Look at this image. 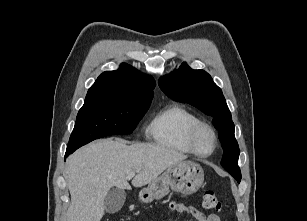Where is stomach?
<instances>
[{
  "label": "stomach",
  "mask_w": 307,
  "mask_h": 221,
  "mask_svg": "<svg viewBox=\"0 0 307 221\" xmlns=\"http://www.w3.org/2000/svg\"><path fill=\"white\" fill-rule=\"evenodd\" d=\"M204 181L202 167L192 161H182L169 167L161 176L151 181L146 188L141 189L139 198L149 203L154 199H161L170 189L182 194L196 192Z\"/></svg>",
  "instance_id": "stomach-1"
}]
</instances>
